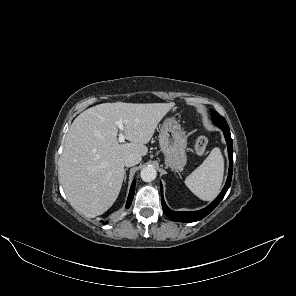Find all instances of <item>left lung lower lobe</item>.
I'll return each mask as SVG.
<instances>
[{"mask_svg": "<svg viewBox=\"0 0 296 296\" xmlns=\"http://www.w3.org/2000/svg\"><path fill=\"white\" fill-rule=\"evenodd\" d=\"M216 125H218L219 128L222 129L225 139H226V142H227V145H228L229 174H228L227 182H226L222 192L209 206H207L204 209L194 211V212L170 210L164 201L163 189H162V184H161V192H162L161 203H162L163 211H164L165 215L173 221L195 222V221L201 220L202 218L207 216L221 202V200L225 196L228 188L230 187L231 179H232V169H233V142H232V138L230 135V129H229L228 124L217 123Z\"/></svg>", "mask_w": 296, "mask_h": 296, "instance_id": "1", "label": "left lung lower lobe"}]
</instances>
